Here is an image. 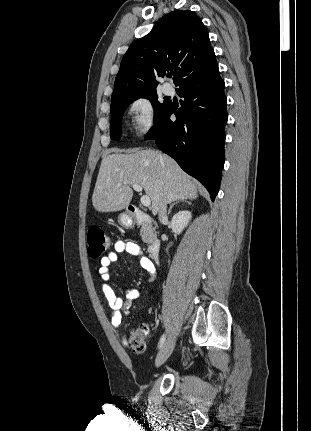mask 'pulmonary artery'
<instances>
[{
    "instance_id": "pulmonary-artery-1",
    "label": "pulmonary artery",
    "mask_w": 311,
    "mask_h": 431,
    "mask_svg": "<svg viewBox=\"0 0 311 431\" xmlns=\"http://www.w3.org/2000/svg\"><path fill=\"white\" fill-rule=\"evenodd\" d=\"M163 92L166 95H172L174 93V88H173V86L170 83L166 82V83L163 84Z\"/></svg>"
}]
</instances>
